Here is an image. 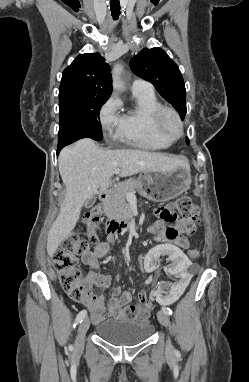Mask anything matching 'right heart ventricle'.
Returning <instances> with one entry per match:
<instances>
[{"label":"right heart ventricle","mask_w":249,"mask_h":382,"mask_svg":"<svg viewBox=\"0 0 249 382\" xmlns=\"http://www.w3.org/2000/svg\"><path fill=\"white\" fill-rule=\"evenodd\" d=\"M132 95L135 105L123 115V124L115 136L141 149L168 148L173 141L162 135L155 124V113L162 104L154 92L132 91Z\"/></svg>","instance_id":"1"}]
</instances>
